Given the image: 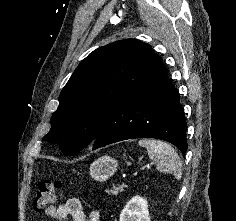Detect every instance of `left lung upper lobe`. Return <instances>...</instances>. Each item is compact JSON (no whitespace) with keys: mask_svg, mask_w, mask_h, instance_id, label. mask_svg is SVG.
I'll list each match as a JSON object with an SVG mask.
<instances>
[{"mask_svg":"<svg viewBox=\"0 0 236 221\" xmlns=\"http://www.w3.org/2000/svg\"><path fill=\"white\" fill-rule=\"evenodd\" d=\"M161 57L151 46L125 39L90 53L59 96L44 140L73 155L92 143L112 111L149 75Z\"/></svg>","mask_w":236,"mask_h":221,"instance_id":"5c2ea615","label":"left lung upper lobe"}]
</instances>
